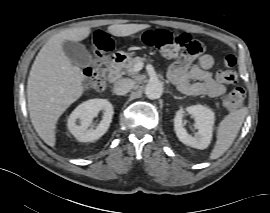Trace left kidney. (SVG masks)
Masks as SVG:
<instances>
[{
    "label": "left kidney",
    "instance_id": "left-kidney-1",
    "mask_svg": "<svg viewBox=\"0 0 270 213\" xmlns=\"http://www.w3.org/2000/svg\"><path fill=\"white\" fill-rule=\"evenodd\" d=\"M186 111L194 118L198 132L194 136L188 134L183 125L184 111L179 110L174 118L176 136L185 145L201 150L207 148L212 139L214 112L203 105L189 106Z\"/></svg>",
    "mask_w": 270,
    "mask_h": 213
}]
</instances>
